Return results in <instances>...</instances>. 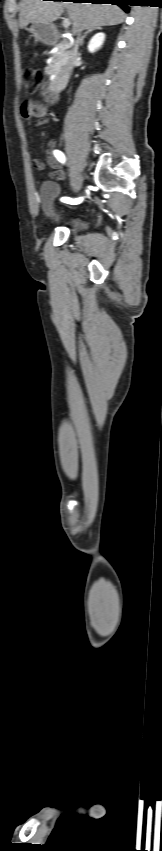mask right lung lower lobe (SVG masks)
I'll return each instance as SVG.
<instances>
[{"label": "right lung lower lobe", "instance_id": "right-lung-lower-lobe-1", "mask_svg": "<svg viewBox=\"0 0 162 851\" xmlns=\"http://www.w3.org/2000/svg\"><path fill=\"white\" fill-rule=\"evenodd\" d=\"M63 1V0H56ZM72 2H81V3H93V4H112L120 6L125 12H129V5L131 0H72Z\"/></svg>", "mask_w": 162, "mask_h": 851}]
</instances>
